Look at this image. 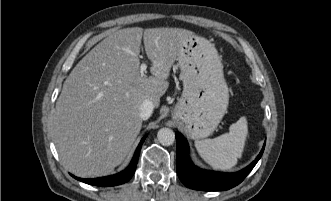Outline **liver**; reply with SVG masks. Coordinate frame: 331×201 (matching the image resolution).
Segmentation results:
<instances>
[{
    "mask_svg": "<svg viewBox=\"0 0 331 201\" xmlns=\"http://www.w3.org/2000/svg\"><path fill=\"white\" fill-rule=\"evenodd\" d=\"M182 28L120 29L97 44L63 84L53 116L54 143L66 168L79 177L110 174L138 136L140 106H159L171 67L189 37ZM152 76L140 72V46Z\"/></svg>",
    "mask_w": 331,
    "mask_h": 201,
    "instance_id": "1",
    "label": "liver"
}]
</instances>
